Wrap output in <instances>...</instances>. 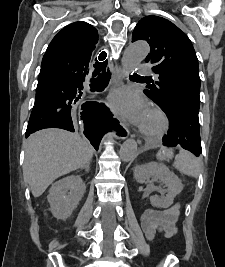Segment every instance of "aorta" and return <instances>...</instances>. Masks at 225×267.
Listing matches in <instances>:
<instances>
[{
  "mask_svg": "<svg viewBox=\"0 0 225 267\" xmlns=\"http://www.w3.org/2000/svg\"><path fill=\"white\" fill-rule=\"evenodd\" d=\"M150 51L149 45L145 41H137L130 44L124 51L122 58L123 71L127 74L146 58ZM120 158L123 162L132 161L137 155V143L133 139L126 140L120 148Z\"/></svg>",
  "mask_w": 225,
  "mask_h": 267,
  "instance_id": "obj_1",
  "label": "aorta"
}]
</instances>
